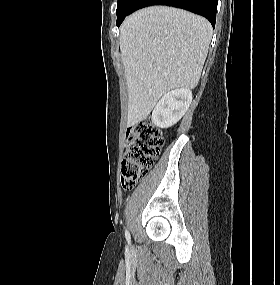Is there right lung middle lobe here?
Here are the masks:
<instances>
[{"instance_id": "dd1d6c3e", "label": "right lung middle lobe", "mask_w": 280, "mask_h": 285, "mask_svg": "<svg viewBox=\"0 0 280 285\" xmlns=\"http://www.w3.org/2000/svg\"><path fill=\"white\" fill-rule=\"evenodd\" d=\"M137 0H118L117 5V22L123 20L127 15H129L136 3Z\"/></svg>"}]
</instances>
